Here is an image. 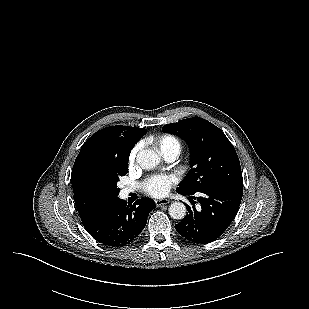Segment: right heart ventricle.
Returning a JSON list of instances; mask_svg holds the SVG:
<instances>
[{
	"mask_svg": "<svg viewBox=\"0 0 309 309\" xmlns=\"http://www.w3.org/2000/svg\"><path fill=\"white\" fill-rule=\"evenodd\" d=\"M154 143L158 146L163 154L171 151H176L179 153L181 150L180 139L171 134H162L154 138Z\"/></svg>",
	"mask_w": 309,
	"mask_h": 309,
	"instance_id": "right-heart-ventricle-1",
	"label": "right heart ventricle"
}]
</instances>
